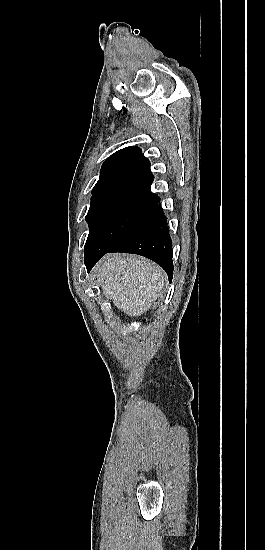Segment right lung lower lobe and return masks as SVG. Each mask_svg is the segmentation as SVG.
<instances>
[{
  "label": "right lung lower lobe",
  "instance_id": "98d812e1",
  "mask_svg": "<svg viewBox=\"0 0 265 550\" xmlns=\"http://www.w3.org/2000/svg\"><path fill=\"white\" fill-rule=\"evenodd\" d=\"M125 252L147 257L159 264L171 282L173 276L172 241L167 219L159 206V197L137 221V223L109 249L85 255L88 271L106 253Z\"/></svg>",
  "mask_w": 265,
  "mask_h": 550
}]
</instances>
